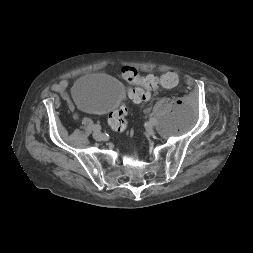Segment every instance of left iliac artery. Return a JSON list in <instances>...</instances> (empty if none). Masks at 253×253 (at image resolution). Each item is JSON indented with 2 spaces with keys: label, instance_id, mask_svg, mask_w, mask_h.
<instances>
[{
  "label": "left iliac artery",
  "instance_id": "44dca946",
  "mask_svg": "<svg viewBox=\"0 0 253 253\" xmlns=\"http://www.w3.org/2000/svg\"><path fill=\"white\" fill-rule=\"evenodd\" d=\"M150 124H151V125H156L157 122H156L155 119L152 118V119L150 120V122H149L147 125L149 126Z\"/></svg>",
  "mask_w": 253,
  "mask_h": 253
}]
</instances>
